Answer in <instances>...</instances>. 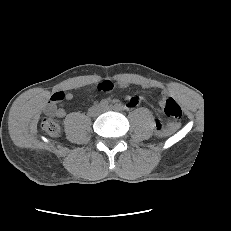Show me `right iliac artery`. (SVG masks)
I'll return each instance as SVG.
<instances>
[{"label":"right iliac artery","mask_w":231,"mask_h":231,"mask_svg":"<svg viewBox=\"0 0 231 231\" xmlns=\"http://www.w3.org/2000/svg\"><path fill=\"white\" fill-rule=\"evenodd\" d=\"M108 102L106 100L101 101V107H107Z\"/></svg>","instance_id":"right-iliac-artery-1"}]
</instances>
